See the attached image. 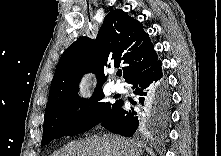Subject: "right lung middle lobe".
Masks as SVG:
<instances>
[{"label": "right lung middle lobe", "instance_id": "1", "mask_svg": "<svg viewBox=\"0 0 221 156\" xmlns=\"http://www.w3.org/2000/svg\"><path fill=\"white\" fill-rule=\"evenodd\" d=\"M78 91L71 92L46 108L41 146L53 139L83 133L107 119L118 107L115 103L102 101V89H96L90 99L79 98ZM82 106V114L76 110Z\"/></svg>", "mask_w": 221, "mask_h": 156}]
</instances>
